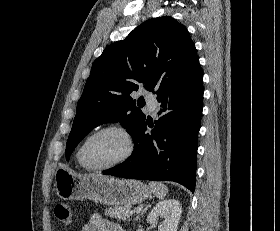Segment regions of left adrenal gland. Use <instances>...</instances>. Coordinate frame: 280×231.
<instances>
[{"instance_id":"1","label":"left adrenal gland","mask_w":280,"mask_h":231,"mask_svg":"<svg viewBox=\"0 0 280 231\" xmlns=\"http://www.w3.org/2000/svg\"><path fill=\"white\" fill-rule=\"evenodd\" d=\"M149 205H151V203H148V205H146V207H144V209H142V211H140L139 215H136L135 219H140V215H143L144 211H146L147 207H149Z\"/></svg>"}]
</instances>
